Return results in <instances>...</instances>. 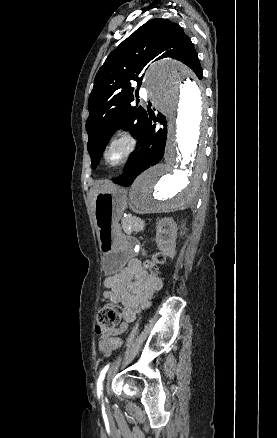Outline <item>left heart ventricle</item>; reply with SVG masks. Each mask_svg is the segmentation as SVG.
Instances as JSON below:
<instances>
[{
    "label": "left heart ventricle",
    "mask_w": 277,
    "mask_h": 438,
    "mask_svg": "<svg viewBox=\"0 0 277 438\" xmlns=\"http://www.w3.org/2000/svg\"><path fill=\"white\" fill-rule=\"evenodd\" d=\"M124 152V146L122 144L115 145L108 154V160L115 162L121 158Z\"/></svg>",
    "instance_id": "left-heart-ventricle-1"
}]
</instances>
